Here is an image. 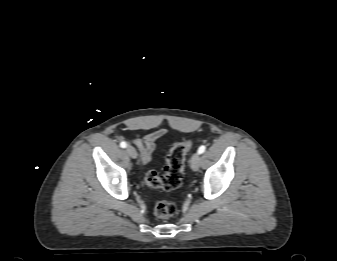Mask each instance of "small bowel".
<instances>
[{
    "label": "small bowel",
    "instance_id": "obj_1",
    "mask_svg": "<svg viewBox=\"0 0 337 261\" xmlns=\"http://www.w3.org/2000/svg\"><path fill=\"white\" fill-rule=\"evenodd\" d=\"M165 134L166 130L160 129L144 136L143 138L133 139V142L137 146L141 159L144 163L150 161L157 147L156 142L163 138Z\"/></svg>",
    "mask_w": 337,
    "mask_h": 261
}]
</instances>
